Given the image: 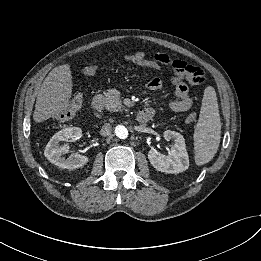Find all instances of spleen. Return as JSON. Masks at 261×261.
Wrapping results in <instances>:
<instances>
[{"instance_id": "3e777b00", "label": "spleen", "mask_w": 261, "mask_h": 261, "mask_svg": "<svg viewBox=\"0 0 261 261\" xmlns=\"http://www.w3.org/2000/svg\"><path fill=\"white\" fill-rule=\"evenodd\" d=\"M195 162L198 166L208 163L216 154L221 138V121L216 92L207 87L194 131Z\"/></svg>"}]
</instances>
